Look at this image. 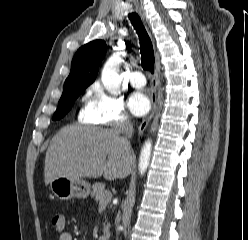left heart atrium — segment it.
<instances>
[{
    "instance_id": "obj_1",
    "label": "left heart atrium",
    "mask_w": 248,
    "mask_h": 240,
    "mask_svg": "<svg viewBox=\"0 0 248 240\" xmlns=\"http://www.w3.org/2000/svg\"><path fill=\"white\" fill-rule=\"evenodd\" d=\"M128 106L133 115L142 116L148 112L150 102L145 94L137 91L131 94Z\"/></svg>"
}]
</instances>
